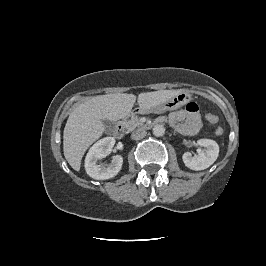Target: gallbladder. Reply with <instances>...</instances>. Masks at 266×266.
<instances>
[{
	"mask_svg": "<svg viewBox=\"0 0 266 266\" xmlns=\"http://www.w3.org/2000/svg\"><path fill=\"white\" fill-rule=\"evenodd\" d=\"M104 127L107 131H112L115 128V123L109 120H103Z\"/></svg>",
	"mask_w": 266,
	"mask_h": 266,
	"instance_id": "gallbladder-1",
	"label": "gallbladder"
}]
</instances>
